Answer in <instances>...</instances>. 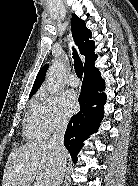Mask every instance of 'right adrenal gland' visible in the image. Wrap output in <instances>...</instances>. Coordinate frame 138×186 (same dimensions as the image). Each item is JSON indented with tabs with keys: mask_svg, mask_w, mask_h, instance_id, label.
I'll use <instances>...</instances> for the list:
<instances>
[{
	"mask_svg": "<svg viewBox=\"0 0 138 186\" xmlns=\"http://www.w3.org/2000/svg\"><path fill=\"white\" fill-rule=\"evenodd\" d=\"M63 178H64V174H63V176H62V181H63ZM62 181H61V182H62Z\"/></svg>",
	"mask_w": 138,
	"mask_h": 186,
	"instance_id": "2a0ac1e0",
	"label": "right adrenal gland"
}]
</instances>
